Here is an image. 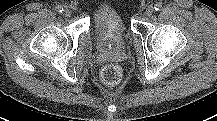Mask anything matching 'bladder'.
<instances>
[{
  "mask_svg": "<svg viewBox=\"0 0 217 121\" xmlns=\"http://www.w3.org/2000/svg\"><path fill=\"white\" fill-rule=\"evenodd\" d=\"M93 31L104 51L118 52L124 49L127 29L114 8L103 7L95 13Z\"/></svg>",
  "mask_w": 217,
  "mask_h": 121,
  "instance_id": "bladder-1",
  "label": "bladder"
}]
</instances>
